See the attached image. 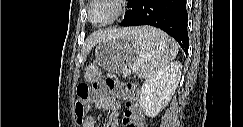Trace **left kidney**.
Segmentation results:
<instances>
[{"mask_svg": "<svg viewBox=\"0 0 243 127\" xmlns=\"http://www.w3.org/2000/svg\"><path fill=\"white\" fill-rule=\"evenodd\" d=\"M181 70L179 62H172L146 79L139 102L146 116L153 118L168 105L178 86Z\"/></svg>", "mask_w": 243, "mask_h": 127, "instance_id": "left-kidney-1", "label": "left kidney"}]
</instances>
